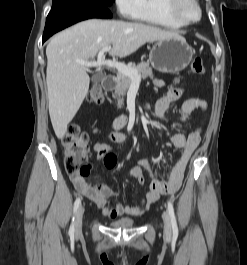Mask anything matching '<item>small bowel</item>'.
<instances>
[{"instance_id":"1","label":"small bowel","mask_w":247,"mask_h":265,"mask_svg":"<svg viewBox=\"0 0 247 265\" xmlns=\"http://www.w3.org/2000/svg\"><path fill=\"white\" fill-rule=\"evenodd\" d=\"M156 85L163 86L161 80H157ZM184 92L183 88L171 89L166 96L157 100L155 104V117L166 122L165 113L170 104L178 100ZM207 103L204 99L193 97L185 100L180 108L177 121L184 123L188 117L196 110L206 111ZM202 126L196 131L186 135L177 133L167 137L170 144L180 150L181 154L177 162L172 166L169 177L166 181H160L155 178L154 171L146 159H140L138 163L129 170V175L139 184H145L146 172L150 178L148 190L137 206L123 204L111 205L110 201L117 198V193L109 188L100 180L87 182L85 177L80 175H71V181L77 191L101 209L102 214L108 218H116L122 215L139 216L144 214L162 195H171L181 186L184 173L193 152L198 147L201 140ZM110 143H122L127 139L125 133L112 132L108 136ZM110 143L100 142L94 145L93 152L98 160H101L106 168L113 169L117 164V157L112 152Z\"/></svg>"}]
</instances>
